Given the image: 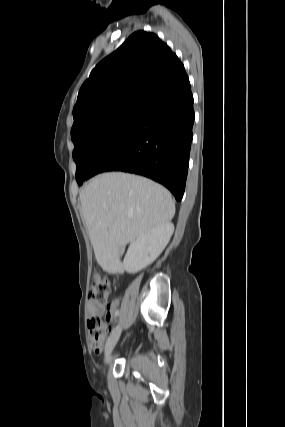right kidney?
<instances>
[{
	"instance_id": "obj_1",
	"label": "right kidney",
	"mask_w": 285,
	"mask_h": 427,
	"mask_svg": "<svg viewBox=\"0 0 285 427\" xmlns=\"http://www.w3.org/2000/svg\"><path fill=\"white\" fill-rule=\"evenodd\" d=\"M174 232L171 222L153 227L129 246L123 261L127 273L134 274L153 263L164 250Z\"/></svg>"
}]
</instances>
